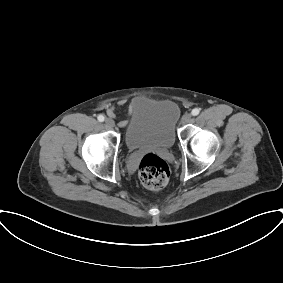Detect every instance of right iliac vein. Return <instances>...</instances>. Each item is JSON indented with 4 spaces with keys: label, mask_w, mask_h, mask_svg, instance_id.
Returning <instances> with one entry per match:
<instances>
[{
    "label": "right iliac vein",
    "mask_w": 283,
    "mask_h": 283,
    "mask_svg": "<svg viewBox=\"0 0 283 283\" xmlns=\"http://www.w3.org/2000/svg\"><path fill=\"white\" fill-rule=\"evenodd\" d=\"M105 125L107 126V127H109V128H113L114 126H115V122H114V120L113 119H111V118H107V119H105Z\"/></svg>",
    "instance_id": "63e3f726"
}]
</instances>
